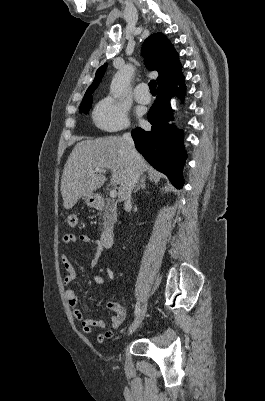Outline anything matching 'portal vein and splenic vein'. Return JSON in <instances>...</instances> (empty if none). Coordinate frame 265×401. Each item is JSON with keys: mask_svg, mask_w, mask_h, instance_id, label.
Listing matches in <instances>:
<instances>
[{"mask_svg": "<svg viewBox=\"0 0 265 401\" xmlns=\"http://www.w3.org/2000/svg\"><path fill=\"white\" fill-rule=\"evenodd\" d=\"M94 172H105L103 168H95ZM110 196H117V190H110Z\"/></svg>", "mask_w": 265, "mask_h": 401, "instance_id": "obj_1", "label": "portal vein and splenic vein"}]
</instances>
